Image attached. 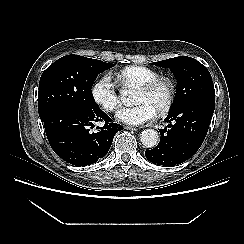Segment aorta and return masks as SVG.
Listing matches in <instances>:
<instances>
[{"label":"aorta","mask_w":244,"mask_h":244,"mask_svg":"<svg viewBox=\"0 0 244 244\" xmlns=\"http://www.w3.org/2000/svg\"><path fill=\"white\" fill-rule=\"evenodd\" d=\"M127 92L123 91L121 92V96H122V101L124 103H128V99H127ZM140 141L141 143L147 147V148H153L155 147L158 142H159V135L158 132L155 131L154 129H146L144 130L141 135H140Z\"/></svg>","instance_id":"obj_1"}]
</instances>
